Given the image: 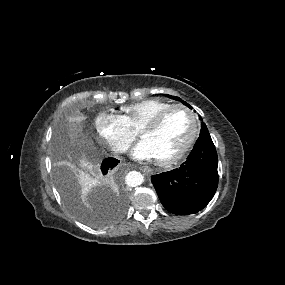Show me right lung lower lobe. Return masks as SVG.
Here are the masks:
<instances>
[{"label": "right lung lower lobe", "instance_id": "right-lung-lower-lobe-1", "mask_svg": "<svg viewBox=\"0 0 285 285\" xmlns=\"http://www.w3.org/2000/svg\"><path fill=\"white\" fill-rule=\"evenodd\" d=\"M119 163V160L114 158H107L102 162L101 171L103 174H107L113 167ZM121 203L124 206L126 203L125 196L121 197Z\"/></svg>", "mask_w": 285, "mask_h": 285}]
</instances>
